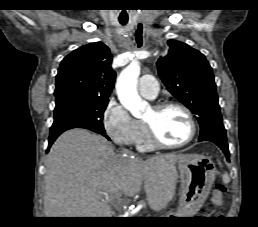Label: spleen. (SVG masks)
I'll return each mask as SVG.
<instances>
[{
  "mask_svg": "<svg viewBox=\"0 0 258 227\" xmlns=\"http://www.w3.org/2000/svg\"><path fill=\"white\" fill-rule=\"evenodd\" d=\"M222 180L225 184H228L230 182V178L227 173L223 175Z\"/></svg>",
  "mask_w": 258,
  "mask_h": 227,
  "instance_id": "spleen-1",
  "label": "spleen"
}]
</instances>
